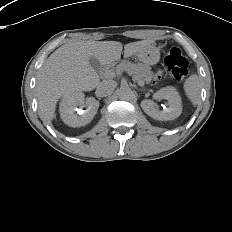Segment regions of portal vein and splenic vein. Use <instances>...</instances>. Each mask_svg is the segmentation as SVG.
I'll use <instances>...</instances> for the list:
<instances>
[{
	"mask_svg": "<svg viewBox=\"0 0 232 232\" xmlns=\"http://www.w3.org/2000/svg\"><path fill=\"white\" fill-rule=\"evenodd\" d=\"M109 76H114V72L113 71H109L108 73H107ZM140 85H143L144 84V82H138Z\"/></svg>",
	"mask_w": 232,
	"mask_h": 232,
	"instance_id": "1",
	"label": "portal vein and splenic vein"
}]
</instances>
